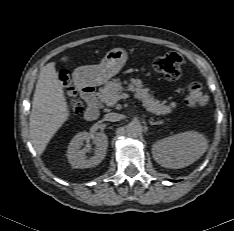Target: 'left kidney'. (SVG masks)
I'll list each match as a JSON object with an SVG mask.
<instances>
[{
    "instance_id": "1",
    "label": "left kidney",
    "mask_w": 234,
    "mask_h": 231,
    "mask_svg": "<svg viewBox=\"0 0 234 231\" xmlns=\"http://www.w3.org/2000/svg\"><path fill=\"white\" fill-rule=\"evenodd\" d=\"M207 148L205 136L196 131H187L157 141L152 147V153L161 166L179 169L195 162Z\"/></svg>"
}]
</instances>
